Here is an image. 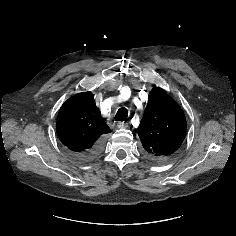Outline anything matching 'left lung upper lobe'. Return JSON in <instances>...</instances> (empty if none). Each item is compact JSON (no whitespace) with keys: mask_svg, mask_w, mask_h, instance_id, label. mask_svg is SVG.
<instances>
[{"mask_svg":"<svg viewBox=\"0 0 236 236\" xmlns=\"http://www.w3.org/2000/svg\"><path fill=\"white\" fill-rule=\"evenodd\" d=\"M137 132L146 155L154 161H164L181 146L186 118L172 97L163 89L154 88Z\"/></svg>","mask_w":236,"mask_h":236,"instance_id":"obj_1","label":"left lung upper lobe"}]
</instances>
